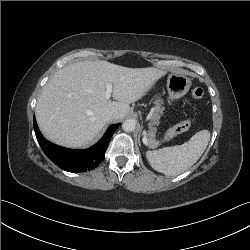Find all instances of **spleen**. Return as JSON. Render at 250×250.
Returning a JSON list of instances; mask_svg holds the SVG:
<instances>
[{
	"label": "spleen",
	"mask_w": 250,
	"mask_h": 250,
	"mask_svg": "<svg viewBox=\"0 0 250 250\" xmlns=\"http://www.w3.org/2000/svg\"><path fill=\"white\" fill-rule=\"evenodd\" d=\"M210 132L201 130L182 145L147 151L146 158L153 169L166 176H176L193 166L204 153Z\"/></svg>",
	"instance_id": "obj_1"
}]
</instances>
